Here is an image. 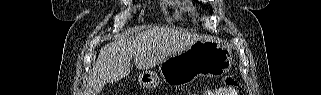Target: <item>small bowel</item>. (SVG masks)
<instances>
[{"instance_id": "1", "label": "small bowel", "mask_w": 321, "mask_h": 95, "mask_svg": "<svg viewBox=\"0 0 321 95\" xmlns=\"http://www.w3.org/2000/svg\"><path fill=\"white\" fill-rule=\"evenodd\" d=\"M205 95H235L233 89H219L217 91H206Z\"/></svg>"}]
</instances>
